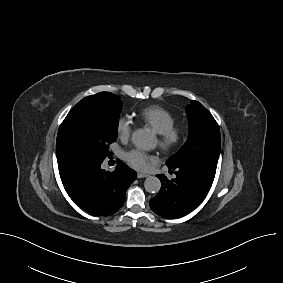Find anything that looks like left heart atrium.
Here are the masks:
<instances>
[{"label":"left heart atrium","instance_id":"1","mask_svg":"<svg viewBox=\"0 0 283 283\" xmlns=\"http://www.w3.org/2000/svg\"><path fill=\"white\" fill-rule=\"evenodd\" d=\"M124 158L132 167L138 170H147L150 167L154 157L146 151L133 148L124 153Z\"/></svg>","mask_w":283,"mask_h":283}]
</instances>
